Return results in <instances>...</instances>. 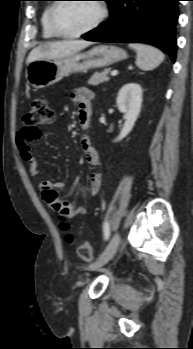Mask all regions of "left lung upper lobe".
Masks as SVG:
<instances>
[{
	"label": "left lung upper lobe",
	"mask_w": 193,
	"mask_h": 349,
	"mask_svg": "<svg viewBox=\"0 0 193 349\" xmlns=\"http://www.w3.org/2000/svg\"><path fill=\"white\" fill-rule=\"evenodd\" d=\"M104 1H107V2H108L109 0H104ZM91 31H92V30H91ZM91 31H90V33H91ZM88 33H89V32H88Z\"/></svg>",
	"instance_id": "left-lung-upper-lobe-1"
}]
</instances>
